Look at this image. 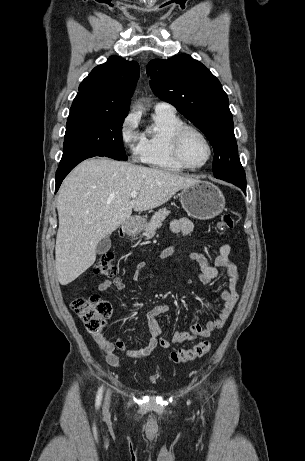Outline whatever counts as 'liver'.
I'll use <instances>...</instances> for the list:
<instances>
[{
	"label": "liver",
	"mask_w": 305,
	"mask_h": 461,
	"mask_svg": "<svg viewBox=\"0 0 305 461\" xmlns=\"http://www.w3.org/2000/svg\"><path fill=\"white\" fill-rule=\"evenodd\" d=\"M196 182L107 158L79 164L63 181L57 198L55 269L60 284L71 283L93 265L99 241L126 222L132 210L157 208ZM134 191L138 196L131 198Z\"/></svg>",
	"instance_id": "1"
}]
</instances>
